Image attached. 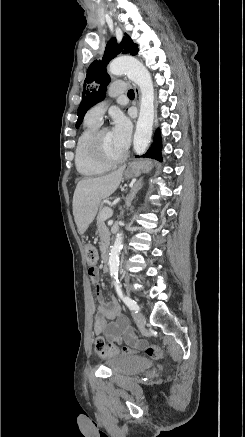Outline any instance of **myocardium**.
Wrapping results in <instances>:
<instances>
[{"mask_svg": "<svg viewBox=\"0 0 245 437\" xmlns=\"http://www.w3.org/2000/svg\"><path fill=\"white\" fill-rule=\"evenodd\" d=\"M108 130L109 129L107 127H98L89 138L88 150L90 155L99 163L108 166H114L123 162L127 156V153L124 152V154L118 158H111L104 153L101 140L103 133Z\"/></svg>", "mask_w": 245, "mask_h": 437, "instance_id": "f54148a6", "label": "myocardium"}]
</instances>
